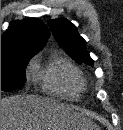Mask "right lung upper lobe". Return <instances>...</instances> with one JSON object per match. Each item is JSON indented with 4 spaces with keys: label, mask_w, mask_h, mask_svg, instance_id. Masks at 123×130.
<instances>
[{
    "label": "right lung upper lobe",
    "mask_w": 123,
    "mask_h": 130,
    "mask_svg": "<svg viewBox=\"0 0 123 130\" xmlns=\"http://www.w3.org/2000/svg\"><path fill=\"white\" fill-rule=\"evenodd\" d=\"M48 38L49 29L37 18L12 21L1 36V59L21 54H36Z\"/></svg>",
    "instance_id": "cb5924a9"
}]
</instances>
